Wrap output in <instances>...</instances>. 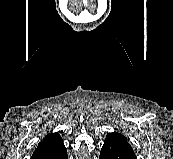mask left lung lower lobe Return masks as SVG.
I'll return each instance as SVG.
<instances>
[{
    "label": "left lung lower lobe",
    "instance_id": "1",
    "mask_svg": "<svg viewBox=\"0 0 173 159\" xmlns=\"http://www.w3.org/2000/svg\"><path fill=\"white\" fill-rule=\"evenodd\" d=\"M99 159H137L134 153L122 150L114 145L104 143Z\"/></svg>",
    "mask_w": 173,
    "mask_h": 159
}]
</instances>
